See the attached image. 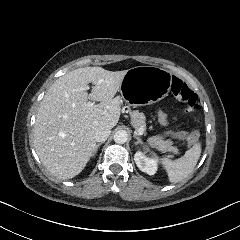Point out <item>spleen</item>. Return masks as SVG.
<instances>
[{
	"instance_id": "obj_1",
	"label": "spleen",
	"mask_w": 240,
	"mask_h": 240,
	"mask_svg": "<svg viewBox=\"0 0 240 240\" xmlns=\"http://www.w3.org/2000/svg\"><path fill=\"white\" fill-rule=\"evenodd\" d=\"M200 154L201 144L195 143L182 157L176 160L162 158L161 163L168 173L169 181L176 183L186 178L195 168ZM153 156L156 155L153 153Z\"/></svg>"
}]
</instances>
